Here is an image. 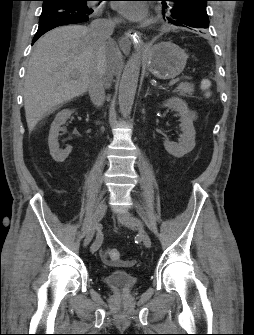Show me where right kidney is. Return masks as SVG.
I'll list each match as a JSON object with an SVG mask.
<instances>
[{
	"label": "right kidney",
	"instance_id": "1",
	"mask_svg": "<svg viewBox=\"0 0 254 335\" xmlns=\"http://www.w3.org/2000/svg\"><path fill=\"white\" fill-rule=\"evenodd\" d=\"M73 112L74 111L68 109L60 111L56 115L53 123L51 124L48 137V145L50 154L56 162H63L72 151V146H67L64 150L59 148L58 136L59 131L61 130V126L66 123L67 119L71 116Z\"/></svg>",
	"mask_w": 254,
	"mask_h": 335
}]
</instances>
